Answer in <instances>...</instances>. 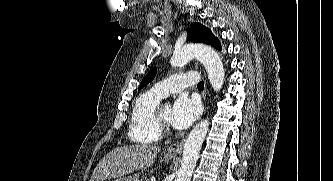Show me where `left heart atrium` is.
Instances as JSON below:
<instances>
[{"mask_svg": "<svg viewBox=\"0 0 333 181\" xmlns=\"http://www.w3.org/2000/svg\"><path fill=\"white\" fill-rule=\"evenodd\" d=\"M199 112L196 100L179 96L171 108L169 122L176 129H186L197 119Z\"/></svg>", "mask_w": 333, "mask_h": 181, "instance_id": "obj_1", "label": "left heart atrium"}]
</instances>
